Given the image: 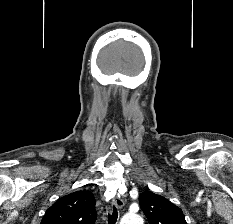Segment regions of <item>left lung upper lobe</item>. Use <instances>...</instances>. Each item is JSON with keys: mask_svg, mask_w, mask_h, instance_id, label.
Segmentation results:
<instances>
[{"mask_svg": "<svg viewBox=\"0 0 233 224\" xmlns=\"http://www.w3.org/2000/svg\"><path fill=\"white\" fill-rule=\"evenodd\" d=\"M139 203L149 224H187L179 207L151 191L140 194Z\"/></svg>", "mask_w": 233, "mask_h": 224, "instance_id": "obj_1", "label": "left lung upper lobe"}]
</instances>
